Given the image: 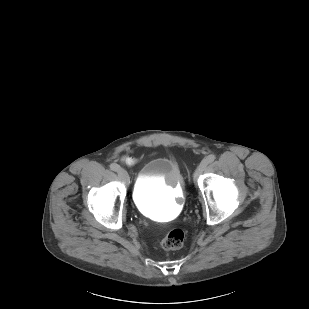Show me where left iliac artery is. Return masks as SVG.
Here are the masks:
<instances>
[{"label": "left iliac artery", "mask_w": 309, "mask_h": 309, "mask_svg": "<svg viewBox=\"0 0 309 309\" xmlns=\"http://www.w3.org/2000/svg\"><path fill=\"white\" fill-rule=\"evenodd\" d=\"M215 155L214 154H210L206 157V159H204L206 161L207 164L212 163L215 160Z\"/></svg>", "instance_id": "left-iliac-artery-1"}]
</instances>
